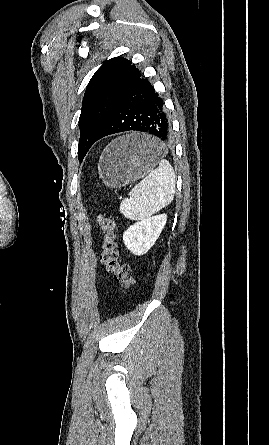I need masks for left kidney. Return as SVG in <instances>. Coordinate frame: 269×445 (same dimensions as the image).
<instances>
[{
  "label": "left kidney",
  "mask_w": 269,
  "mask_h": 445,
  "mask_svg": "<svg viewBox=\"0 0 269 445\" xmlns=\"http://www.w3.org/2000/svg\"><path fill=\"white\" fill-rule=\"evenodd\" d=\"M167 221L166 214L153 216L131 225L123 234L125 246L135 255H144L155 244Z\"/></svg>",
  "instance_id": "1"
}]
</instances>
